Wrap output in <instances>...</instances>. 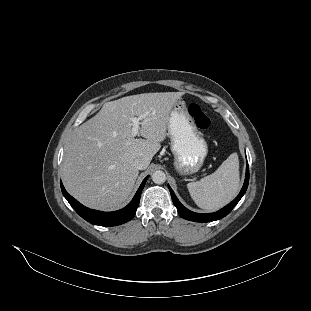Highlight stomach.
<instances>
[{"label":"stomach","mask_w":311,"mask_h":311,"mask_svg":"<svg viewBox=\"0 0 311 311\" xmlns=\"http://www.w3.org/2000/svg\"><path fill=\"white\" fill-rule=\"evenodd\" d=\"M168 133L175 172L182 178L197 173L207 157L208 144L181 99L170 114Z\"/></svg>","instance_id":"obj_1"}]
</instances>
